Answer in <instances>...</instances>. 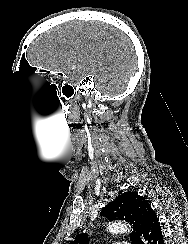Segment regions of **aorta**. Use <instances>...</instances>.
Listing matches in <instances>:
<instances>
[{
    "label": "aorta",
    "mask_w": 188,
    "mask_h": 244,
    "mask_svg": "<svg viewBox=\"0 0 188 244\" xmlns=\"http://www.w3.org/2000/svg\"><path fill=\"white\" fill-rule=\"evenodd\" d=\"M107 230L111 233H127L130 232V226L121 221H114L109 223L107 226Z\"/></svg>",
    "instance_id": "762f6f07"
}]
</instances>
